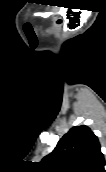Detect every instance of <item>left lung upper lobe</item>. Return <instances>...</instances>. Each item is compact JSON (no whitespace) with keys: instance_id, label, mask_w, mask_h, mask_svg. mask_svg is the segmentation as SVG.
Returning <instances> with one entry per match:
<instances>
[{"instance_id":"1","label":"left lung upper lobe","mask_w":106,"mask_h":172,"mask_svg":"<svg viewBox=\"0 0 106 172\" xmlns=\"http://www.w3.org/2000/svg\"><path fill=\"white\" fill-rule=\"evenodd\" d=\"M43 172H106L97 136L88 126H75L39 163Z\"/></svg>"}]
</instances>
